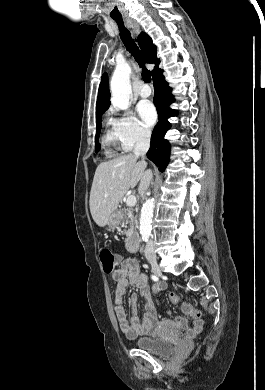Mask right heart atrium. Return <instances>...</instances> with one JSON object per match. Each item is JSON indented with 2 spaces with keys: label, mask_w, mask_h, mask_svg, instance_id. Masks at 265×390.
<instances>
[{
  "label": "right heart atrium",
  "mask_w": 265,
  "mask_h": 390,
  "mask_svg": "<svg viewBox=\"0 0 265 390\" xmlns=\"http://www.w3.org/2000/svg\"><path fill=\"white\" fill-rule=\"evenodd\" d=\"M110 122L124 150H131L150 140V131L131 112L117 113Z\"/></svg>",
  "instance_id": "right-heart-atrium-1"
}]
</instances>
